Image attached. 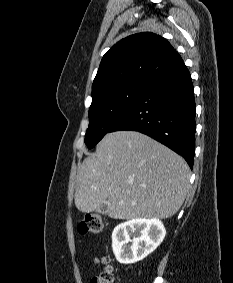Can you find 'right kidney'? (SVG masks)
Segmentation results:
<instances>
[{"label": "right kidney", "instance_id": "right-kidney-1", "mask_svg": "<svg viewBox=\"0 0 233 283\" xmlns=\"http://www.w3.org/2000/svg\"><path fill=\"white\" fill-rule=\"evenodd\" d=\"M166 230L159 219L136 218L119 224L112 233V249L121 264L143 260L163 241ZM131 242V245L128 243Z\"/></svg>", "mask_w": 233, "mask_h": 283}]
</instances>
